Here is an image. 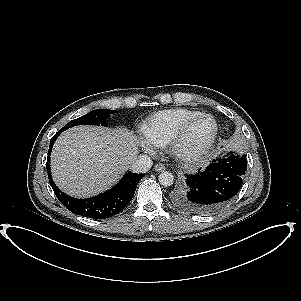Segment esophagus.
<instances>
[{
    "instance_id": "obj_1",
    "label": "esophagus",
    "mask_w": 301,
    "mask_h": 301,
    "mask_svg": "<svg viewBox=\"0 0 301 301\" xmlns=\"http://www.w3.org/2000/svg\"><path fill=\"white\" fill-rule=\"evenodd\" d=\"M154 170L157 172L165 170V165L162 163H156L154 166Z\"/></svg>"
}]
</instances>
